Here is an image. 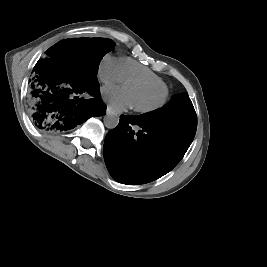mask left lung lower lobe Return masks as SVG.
<instances>
[{
    "mask_svg": "<svg viewBox=\"0 0 267 267\" xmlns=\"http://www.w3.org/2000/svg\"><path fill=\"white\" fill-rule=\"evenodd\" d=\"M133 125L140 127L135 133ZM196 127L177 121L120 116L104 142V159L111 176L124 184H142L171 171L183 158Z\"/></svg>",
    "mask_w": 267,
    "mask_h": 267,
    "instance_id": "0a47b994",
    "label": "left lung lower lobe"
}]
</instances>
